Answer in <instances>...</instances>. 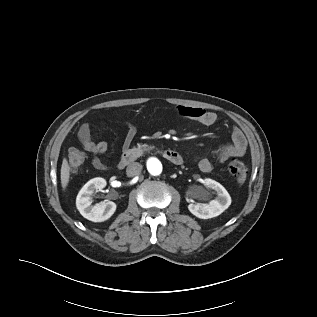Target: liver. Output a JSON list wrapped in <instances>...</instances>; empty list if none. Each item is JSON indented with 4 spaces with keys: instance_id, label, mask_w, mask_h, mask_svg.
I'll use <instances>...</instances> for the list:
<instances>
[{
    "instance_id": "1",
    "label": "liver",
    "mask_w": 317,
    "mask_h": 317,
    "mask_svg": "<svg viewBox=\"0 0 317 317\" xmlns=\"http://www.w3.org/2000/svg\"><path fill=\"white\" fill-rule=\"evenodd\" d=\"M69 177H70V168H69L67 160L63 159L62 166H61V184L64 190L68 185Z\"/></svg>"
}]
</instances>
